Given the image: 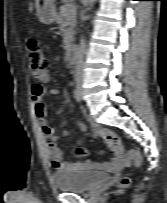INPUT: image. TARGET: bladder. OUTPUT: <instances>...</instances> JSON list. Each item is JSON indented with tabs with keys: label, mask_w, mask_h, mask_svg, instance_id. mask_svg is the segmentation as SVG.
I'll return each instance as SVG.
<instances>
[{
	"label": "bladder",
	"mask_w": 167,
	"mask_h": 203,
	"mask_svg": "<svg viewBox=\"0 0 167 203\" xmlns=\"http://www.w3.org/2000/svg\"><path fill=\"white\" fill-rule=\"evenodd\" d=\"M52 178L56 187L61 191L82 193L98 184L107 182L110 175L102 171L60 169L52 174Z\"/></svg>",
	"instance_id": "obj_1"
}]
</instances>
